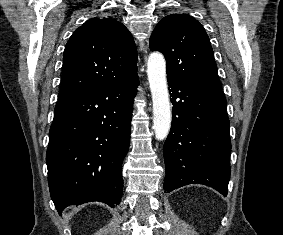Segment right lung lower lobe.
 <instances>
[{"label": "right lung lower lobe", "mask_w": 283, "mask_h": 235, "mask_svg": "<svg viewBox=\"0 0 283 235\" xmlns=\"http://www.w3.org/2000/svg\"><path fill=\"white\" fill-rule=\"evenodd\" d=\"M139 83L130 77L58 100L46 162L51 198L59 214L69 205L122 197V162L130 142Z\"/></svg>", "instance_id": "98d812e1"}]
</instances>
